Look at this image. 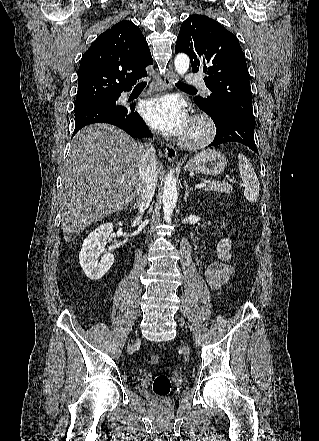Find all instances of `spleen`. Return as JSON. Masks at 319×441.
<instances>
[{
    "label": "spleen",
    "instance_id": "obj_1",
    "mask_svg": "<svg viewBox=\"0 0 319 441\" xmlns=\"http://www.w3.org/2000/svg\"><path fill=\"white\" fill-rule=\"evenodd\" d=\"M238 167L244 183V196L250 203H256L259 196V180L250 163L242 153L238 154Z\"/></svg>",
    "mask_w": 319,
    "mask_h": 441
}]
</instances>
